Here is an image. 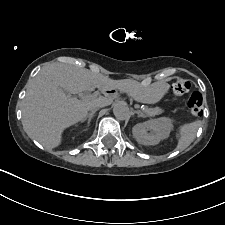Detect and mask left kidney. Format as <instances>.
<instances>
[{
  "label": "left kidney",
  "instance_id": "left-kidney-1",
  "mask_svg": "<svg viewBox=\"0 0 225 225\" xmlns=\"http://www.w3.org/2000/svg\"><path fill=\"white\" fill-rule=\"evenodd\" d=\"M172 128L171 119L161 117L136 124L132 129V133L140 144L157 145L161 140L169 137Z\"/></svg>",
  "mask_w": 225,
  "mask_h": 225
}]
</instances>
